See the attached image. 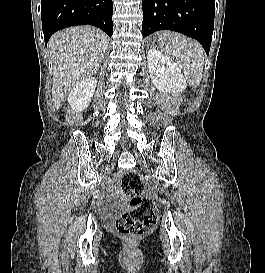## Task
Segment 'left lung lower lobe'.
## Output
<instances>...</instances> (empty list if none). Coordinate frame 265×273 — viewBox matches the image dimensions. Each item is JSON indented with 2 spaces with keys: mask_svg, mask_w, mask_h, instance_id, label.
<instances>
[{
  "mask_svg": "<svg viewBox=\"0 0 265 273\" xmlns=\"http://www.w3.org/2000/svg\"><path fill=\"white\" fill-rule=\"evenodd\" d=\"M143 37L171 30L195 38L209 54L214 29V0H142Z\"/></svg>",
  "mask_w": 265,
  "mask_h": 273,
  "instance_id": "1",
  "label": "left lung lower lobe"
}]
</instances>
